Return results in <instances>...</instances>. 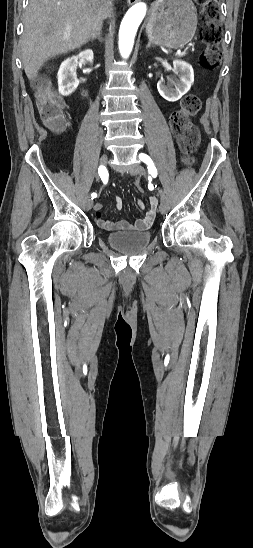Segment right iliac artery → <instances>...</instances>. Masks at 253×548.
I'll return each mask as SVG.
<instances>
[{"label": "right iliac artery", "instance_id": "right-iliac-artery-1", "mask_svg": "<svg viewBox=\"0 0 253 548\" xmlns=\"http://www.w3.org/2000/svg\"><path fill=\"white\" fill-rule=\"evenodd\" d=\"M98 173H99V176L101 177L102 181L104 183H107L108 181V172H107V169L104 167V166H100L99 169H98ZM97 194L96 193H92L91 194V199L93 200L94 198H96Z\"/></svg>", "mask_w": 253, "mask_h": 548}]
</instances>
